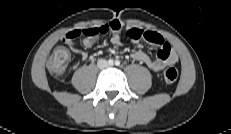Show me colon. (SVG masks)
Wrapping results in <instances>:
<instances>
[{
	"label": "colon",
	"mask_w": 231,
	"mask_h": 134,
	"mask_svg": "<svg viewBox=\"0 0 231 134\" xmlns=\"http://www.w3.org/2000/svg\"><path fill=\"white\" fill-rule=\"evenodd\" d=\"M69 52L64 47L56 48L47 61V69L50 73L63 74L68 66ZM178 78V72L175 68H166L162 73V79L166 84H173Z\"/></svg>",
	"instance_id": "colon-1"
}]
</instances>
